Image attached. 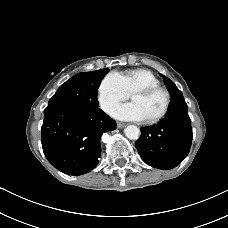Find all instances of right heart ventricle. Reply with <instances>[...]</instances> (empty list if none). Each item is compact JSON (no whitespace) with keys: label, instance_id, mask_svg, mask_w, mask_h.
I'll use <instances>...</instances> for the list:
<instances>
[{"label":"right heart ventricle","instance_id":"e07e8e85","mask_svg":"<svg viewBox=\"0 0 228 228\" xmlns=\"http://www.w3.org/2000/svg\"><path fill=\"white\" fill-rule=\"evenodd\" d=\"M127 93H132L142 87H157L159 80L146 69H131L119 74Z\"/></svg>","mask_w":228,"mask_h":228}]
</instances>
